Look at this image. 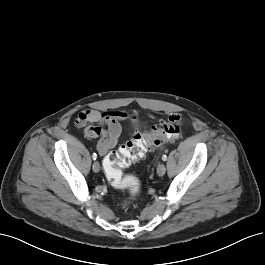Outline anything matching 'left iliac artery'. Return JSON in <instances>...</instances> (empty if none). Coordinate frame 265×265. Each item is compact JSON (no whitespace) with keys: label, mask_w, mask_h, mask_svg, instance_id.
Instances as JSON below:
<instances>
[{"label":"left iliac artery","mask_w":265,"mask_h":265,"mask_svg":"<svg viewBox=\"0 0 265 265\" xmlns=\"http://www.w3.org/2000/svg\"><path fill=\"white\" fill-rule=\"evenodd\" d=\"M162 160H163V161H166V160H167V156H166V155H163V156H162Z\"/></svg>","instance_id":"1"}]
</instances>
